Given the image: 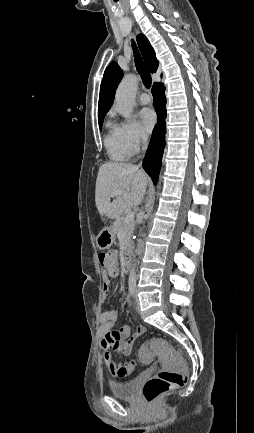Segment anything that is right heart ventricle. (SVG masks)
<instances>
[{
    "label": "right heart ventricle",
    "mask_w": 254,
    "mask_h": 433,
    "mask_svg": "<svg viewBox=\"0 0 254 433\" xmlns=\"http://www.w3.org/2000/svg\"><path fill=\"white\" fill-rule=\"evenodd\" d=\"M104 145L109 158L113 161H125L129 157L118 126L112 122H107V133L104 137Z\"/></svg>",
    "instance_id": "e07e8e85"
}]
</instances>
